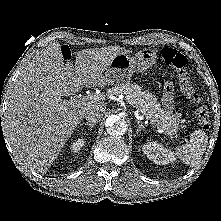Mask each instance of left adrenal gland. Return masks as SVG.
Instances as JSON below:
<instances>
[{
	"label": "left adrenal gland",
	"instance_id": "obj_1",
	"mask_svg": "<svg viewBox=\"0 0 221 221\" xmlns=\"http://www.w3.org/2000/svg\"><path fill=\"white\" fill-rule=\"evenodd\" d=\"M144 129V125L138 120L137 121V133Z\"/></svg>",
	"mask_w": 221,
	"mask_h": 221
}]
</instances>
